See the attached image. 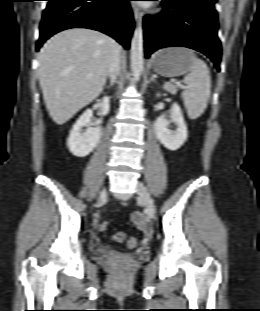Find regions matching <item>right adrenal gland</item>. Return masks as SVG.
I'll return each mask as SVG.
<instances>
[{
  "label": "right adrenal gland",
  "instance_id": "right-adrenal-gland-1",
  "mask_svg": "<svg viewBox=\"0 0 260 311\" xmlns=\"http://www.w3.org/2000/svg\"><path fill=\"white\" fill-rule=\"evenodd\" d=\"M112 84H110V86H111ZM110 86H107V88H109Z\"/></svg>",
  "mask_w": 260,
  "mask_h": 311
}]
</instances>
